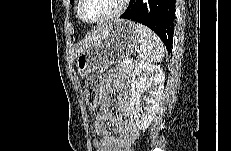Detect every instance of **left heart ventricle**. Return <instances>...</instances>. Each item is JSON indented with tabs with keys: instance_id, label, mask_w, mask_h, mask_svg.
I'll return each mask as SVG.
<instances>
[{
	"instance_id": "left-heart-ventricle-1",
	"label": "left heart ventricle",
	"mask_w": 231,
	"mask_h": 151,
	"mask_svg": "<svg viewBox=\"0 0 231 151\" xmlns=\"http://www.w3.org/2000/svg\"><path fill=\"white\" fill-rule=\"evenodd\" d=\"M121 0H85L83 13L88 19L95 20L115 12Z\"/></svg>"
}]
</instances>
